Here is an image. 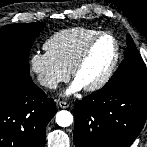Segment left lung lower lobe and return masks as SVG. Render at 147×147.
<instances>
[{
	"label": "left lung lower lobe",
	"mask_w": 147,
	"mask_h": 147,
	"mask_svg": "<svg viewBox=\"0 0 147 147\" xmlns=\"http://www.w3.org/2000/svg\"><path fill=\"white\" fill-rule=\"evenodd\" d=\"M76 147H130L147 117V83L126 82L77 101Z\"/></svg>",
	"instance_id": "left-lung-lower-lobe-1"
}]
</instances>
